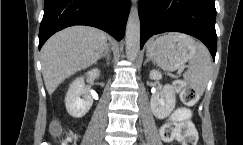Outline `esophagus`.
Segmentation results:
<instances>
[{
	"label": "esophagus",
	"instance_id": "1",
	"mask_svg": "<svg viewBox=\"0 0 243 145\" xmlns=\"http://www.w3.org/2000/svg\"><path fill=\"white\" fill-rule=\"evenodd\" d=\"M132 2H133V3H135V2H136V0H132Z\"/></svg>",
	"mask_w": 243,
	"mask_h": 145
}]
</instances>
